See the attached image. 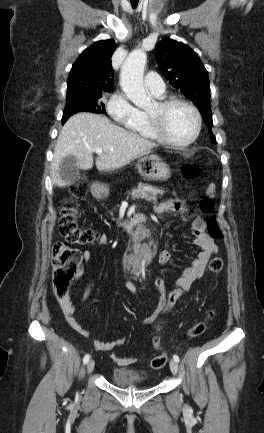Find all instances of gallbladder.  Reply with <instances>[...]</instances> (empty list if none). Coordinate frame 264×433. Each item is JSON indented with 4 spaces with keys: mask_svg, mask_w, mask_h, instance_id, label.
<instances>
[{
    "mask_svg": "<svg viewBox=\"0 0 264 433\" xmlns=\"http://www.w3.org/2000/svg\"><path fill=\"white\" fill-rule=\"evenodd\" d=\"M58 175L68 185L74 184L80 179V169L75 156L68 155L62 159Z\"/></svg>",
    "mask_w": 264,
    "mask_h": 433,
    "instance_id": "gallbladder-1",
    "label": "gallbladder"
}]
</instances>
